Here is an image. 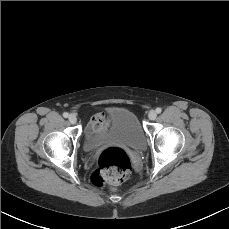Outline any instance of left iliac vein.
<instances>
[{
	"mask_svg": "<svg viewBox=\"0 0 229 229\" xmlns=\"http://www.w3.org/2000/svg\"><path fill=\"white\" fill-rule=\"evenodd\" d=\"M157 116V113L154 111V110H151L149 113H148V118L150 120H154Z\"/></svg>",
	"mask_w": 229,
	"mask_h": 229,
	"instance_id": "1",
	"label": "left iliac vein"
}]
</instances>
